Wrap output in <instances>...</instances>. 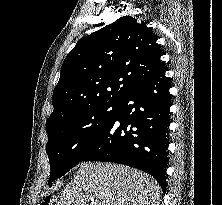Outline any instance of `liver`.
<instances>
[{
  "label": "liver",
  "mask_w": 222,
  "mask_h": 205,
  "mask_svg": "<svg viewBox=\"0 0 222 205\" xmlns=\"http://www.w3.org/2000/svg\"><path fill=\"white\" fill-rule=\"evenodd\" d=\"M157 181L139 170L118 164L81 163L57 205H159Z\"/></svg>",
  "instance_id": "6515ba94"
}]
</instances>
